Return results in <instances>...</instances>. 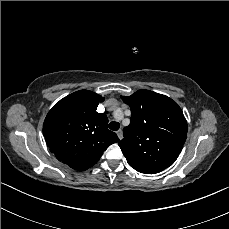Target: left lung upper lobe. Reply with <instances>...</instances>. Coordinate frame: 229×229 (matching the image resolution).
I'll return each instance as SVG.
<instances>
[{
  "instance_id": "5c2ea615",
  "label": "left lung upper lobe",
  "mask_w": 229,
  "mask_h": 229,
  "mask_svg": "<svg viewBox=\"0 0 229 229\" xmlns=\"http://www.w3.org/2000/svg\"><path fill=\"white\" fill-rule=\"evenodd\" d=\"M121 98L131 109L130 124L124 127V138L118 143L129 165L146 174L171 166L187 137L181 108L171 98L149 90Z\"/></svg>"
}]
</instances>
